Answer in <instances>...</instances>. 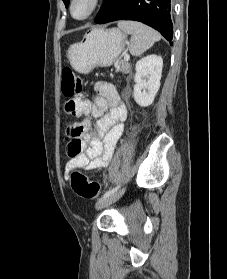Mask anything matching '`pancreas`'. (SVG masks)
Here are the masks:
<instances>
[{
	"mask_svg": "<svg viewBox=\"0 0 227 279\" xmlns=\"http://www.w3.org/2000/svg\"><path fill=\"white\" fill-rule=\"evenodd\" d=\"M116 71H121L122 73L125 74H132V70H131V65L130 63H128L125 60H121L119 61L116 65H115Z\"/></svg>",
	"mask_w": 227,
	"mask_h": 279,
	"instance_id": "pancreas-1",
	"label": "pancreas"
}]
</instances>
